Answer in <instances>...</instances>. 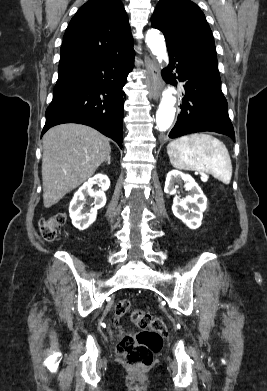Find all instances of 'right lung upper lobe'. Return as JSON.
<instances>
[{
  "label": "right lung upper lobe",
  "mask_w": 267,
  "mask_h": 391,
  "mask_svg": "<svg viewBox=\"0 0 267 391\" xmlns=\"http://www.w3.org/2000/svg\"><path fill=\"white\" fill-rule=\"evenodd\" d=\"M133 48L121 0H89L71 19L63 37L58 74Z\"/></svg>",
  "instance_id": "obj_1"
}]
</instances>
